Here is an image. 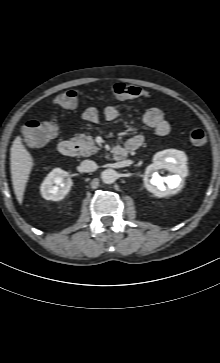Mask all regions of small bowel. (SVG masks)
<instances>
[{
	"mask_svg": "<svg viewBox=\"0 0 220 363\" xmlns=\"http://www.w3.org/2000/svg\"><path fill=\"white\" fill-rule=\"evenodd\" d=\"M104 116L109 121L117 120L120 117L119 110L114 106H108L104 110ZM82 118L89 123H96L99 119L98 110L95 107L87 108L82 115ZM144 124L158 136H165L170 131V125L164 118V114L159 108H150L146 111L143 117ZM143 143V137L136 135L123 144L130 151L137 150Z\"/></svg>",
	"mask_w": 220,
	"mask_h": 363,
	"instance_id": "1",
	"label": "small bowel"
}]
</instances>
